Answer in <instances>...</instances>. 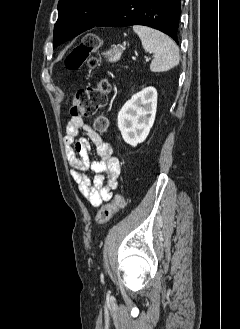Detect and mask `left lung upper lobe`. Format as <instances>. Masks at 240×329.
<instances>
[{
  "label": "left lung upper lobe",
  "instance_id": "obj_1",
  "mask_svg": "<svg viewBox=\"0 0 240 329\" xmlns=\"http://www.w3.org/2000/svg\"><path fill=\"white\" fill-rule=\"evenodd\" d=\"M119 0H59L53 48L93 28Z\"/></svg>",
  "mask_w": 240,
  "mask_h": 329
}]
</instances>
